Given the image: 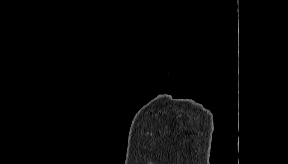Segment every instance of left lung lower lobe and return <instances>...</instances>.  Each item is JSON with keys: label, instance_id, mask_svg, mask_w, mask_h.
<instances>
[{"label": "left lung lower lobe", "instance_id": "obj_1", "mask_svg": "<svg viewBox=\"0 0 288 164\" xmlns=\"http://www.w3.org/2000/svg\"><path fill=\"white\" fill-rule=\"evenodd\" d=\"M228 81L229 74L227 73H203L197 78V84L200 89V98L202 100L210 99L212 88H221L226 85Z\"/></svg>", "mask_w": 288, "mask_h": 164}]
</instances>
